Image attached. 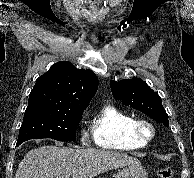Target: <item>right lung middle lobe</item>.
Masks as SVG:
<instances>
[{"label": "right lung middle lobe", "instance_id": "obj_1", "mask_svg": "<svg viewBox=\"0 0 194 178\" xmlns=\"http://www.w3.org/2000/svg\"><path fill=\"white\" fill-rule=\"evenodd\" d=\"M83 111L46 100L29 101L17 142L41 138L73 141Z\"/></svg>", "mask_w": 194, "mask_h": 178}]
</instances>
